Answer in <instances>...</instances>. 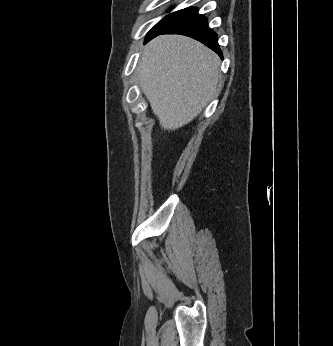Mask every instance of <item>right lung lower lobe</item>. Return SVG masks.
<instances>
[{
  "label": "right lung lower lobe",
  "instance_id": "obj_1",
  "mask_svg": "<svg viewBox=\"0 0 333 346\" xmlns=\"http://www.w3.org/2000/svg\"><path fill=\"white\" fill-rule=\"evenodd\" d=\"M160 34H181L189 36L205 44L222 58L217 34L209 28L207 18L199 14L196 8L190 7L181 10L168 27L162 31L148 35L145 42Z\"/></svg>",
  "mask_w": 333,
  "mask_h": 346
}]
</instances>
